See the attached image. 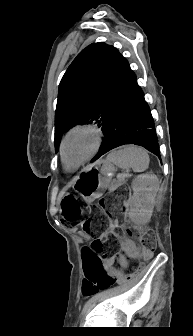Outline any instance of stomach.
I'll return each instance as SVG.
<instances>
[{
  "instance_id": "1",
  "label": "stomach",
  "mask_w": 193,
  "mask_h": 336,
  "mask_svg": "<svg viewBox=\"0 0 193 336\" xmlns=\"http://www.w3.org/2000/svg\"><path fill=\"white\" fill-rule=\"evenodd\" d=\"M114 170L112 163L107 160L98 161L81 170L74 180L73 188L86 202H93L108 188Z\"/></svg>"
}]
</instances>
